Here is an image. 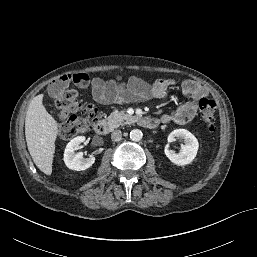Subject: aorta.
Instances as JSON below:
<instances>
[{
  "mask_svg": "<svg viewBox=\"0 0 257 257\" xmlns=\"http://www.w3.org/2000/svg\"><path fill=\"white\" fill-rule=\"evenodd\" d=\"M142 137H143V133L139 129H133L130 132V138L132 141H140L142 139Z\"/></svg>",
  "mask_w": 257,
  "mask_h": 257,
  "instance_id": "1",
  "label": "aorta"
}]
</instances>
